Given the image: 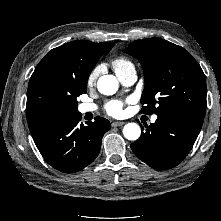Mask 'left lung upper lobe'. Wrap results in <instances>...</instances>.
<instances>
[{
	"instance_id": "obj_1",
	"label": "left lung upper lobe",
	"mask_w": 221,
	"mask_h": 221,
	"mask_svg": "<svg viewBox=\"0 0 221 221\" xmlns=\"http://www.w3.org/2000/svg\"><path fill=\"white\" fill-rule=\"evenodd\" d=\"M125 53L144 70L140 113L157 116L174 111L205 115L206 80L198 62L182 47L160 38L132 42Z\"/></svg>"
}]
</instances>
